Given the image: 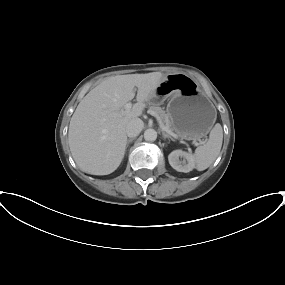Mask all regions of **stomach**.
I'll return each instance as SVG.
<instances>
[{"mask_svg":"<svg viewBox=\"0 0 285 285\" xmlns=\"http://www.w3.org/2000/svg\"><path fill=\"white\" fill-rule=\"evenodd\" d=\"M167 98V113L181 138L196 140L209 133L217 112L195 80L183 73L165 76L149 101L157 104Z\"/></svg>","mask_w":285,"mask_h":285,"instance_id":"1","label":"stomach"}]
</instances>
